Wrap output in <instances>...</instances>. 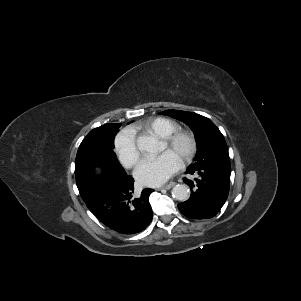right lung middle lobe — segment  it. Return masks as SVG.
I'll return each mask as SVG.
<instances>
[{"instance_id":"dd1d6c3e","label":"right lung middle lobe","mask_w":301,"mask_h":301,"mask_svg":"<svg viewBox=\"0 0 301 301\" xmlns=\"http://www.w3.org/2000/svg\"><path fill=\"white\" fill-rule=\"evenodd\" d=\"M120 125L117 123L110 129L102 126L95 128L81 142L75 160L76 183L80 191L94 179L93 172L96 167H99L103 174L126 173L113 151L114 138Z\"/></svg>"}]
</instances>
